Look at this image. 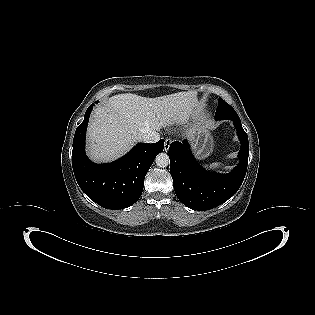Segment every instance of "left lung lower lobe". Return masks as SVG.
Returning <instances> with one entry per match:
<instances>
[{"label": "left lung lower lobe", "instance_id": "0a47b994", "mask_svg": "<svg viewBox=\"0 0 315 315\" xmlns=\"http://www.w3.org/2000/svg\"><path fill=\"white\" fill-rule=\"evenodd\" d=\"M241 148L239 164L227 174L204 170L194 159L188 142H172L169 147L170 173L178 199L195 210H208L233 196L241 186L248 164L249 143L240 119L232 120Z\"/></svg>", "mask_w": 315, "mask_h": 315}]
</instances>
